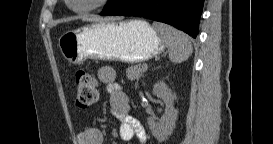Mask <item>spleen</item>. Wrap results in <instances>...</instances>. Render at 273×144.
I'll return each mask as SVG.
<instances>
[{
    "mask_svg": "<svg viewBox=\"0 0 273 144\" xmlns=\"http://www.w3.org/2000/svg\"><path fill=\"white\" fill-rule=\"evenodd\" d=\"M153 28L159 33L168 48L171 62L181 63L190 57L193 48L187 34L162 23H153Z\"/></svg>",
    "mask_w": 273,
    "mask_h": 144,
    "instance_id": "spleen-1",
    "label": "spleen"
}]
</instances>
